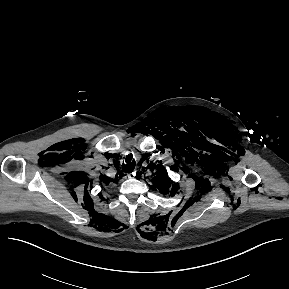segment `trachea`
<instances>
[{
    "label": "trachea",
    "instance_id": "1",
    "mask_svg": "<svg viewBox=\"0 0 289 289\" xmlns=\"http://www.w3.org/2000/svg\"><path fill=\"white\" fill-rule=\"evenodd\" d=\"M125 162H126L127 164L125 165V167L123 168V170H124L125 172H132V171L134 170V168H135V163H134V161L131 162V156H127Z\"/></svg>",
    "mask_w": 289,
    "mask_h": 289
}]
</instances>
